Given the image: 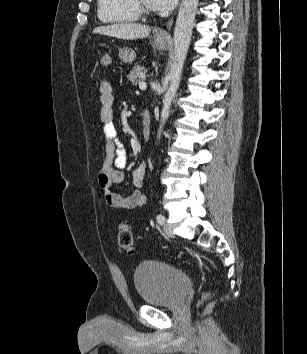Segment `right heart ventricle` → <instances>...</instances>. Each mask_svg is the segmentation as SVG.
Returning <instances> with one entry per match:
<instances>
[{"label":"right heart ventricle","mask_w":307,"mask_h":354,"mask_svg":"<svg viewBox=\"0 0 307 354\" xmlns=\"http://www.w3.org/2000/svg\"><path fill=\"white\" fill-rule=\"evenodd\" d=\"M98 18L105 23L135 22L140 15L132 0H97Z\"/></svg>","instance_id":"right-heart-ventricle-1"}]
</instances>
